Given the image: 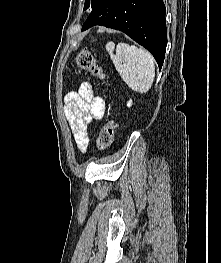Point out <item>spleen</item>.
Masks as SVG:
<instances>
[{
	"label": "spleen",
	"instance_id": "1",
	"mask_svg": "<svg viewBox=\"0 0 221 263\" xmlns=\"http://www.w3.org/2000/svg\"><path fill=\"white\" fill-rule=\"evenodd\" d=\"M115 44L109 42L106 50L123 81L134 91L146 93L150 90L154 77L155 65L153 56L142 48L118 43L116 54Z\"/></svg>",
	"mask_w": 221,
	"mask_h": 263
}]
</instances>
